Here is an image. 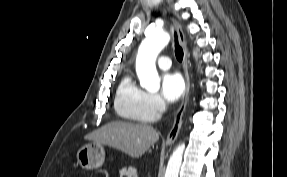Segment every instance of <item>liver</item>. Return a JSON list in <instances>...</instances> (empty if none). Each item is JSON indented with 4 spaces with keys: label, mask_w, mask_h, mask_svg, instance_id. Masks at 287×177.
I'll list each match as a JSON object with an SVG mask.
<instances>
[{
    "label": "liver",
    "mask_w": 287,
    "mask_h": 177,
    "mask_svg": "<svg viewBox=\"0 0 287 177\" xmlns=\"http://www.w3.org/2000/svg\"><path fill=\"white\" fill-rule=\"evenodd\" d=\"M85 139L107 145L137 158L159 140V133L147 124L112 121L86 135Z\"/></svg>",
    "instance_id": "6515ba94"
}]
</instances>
